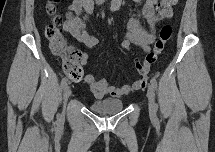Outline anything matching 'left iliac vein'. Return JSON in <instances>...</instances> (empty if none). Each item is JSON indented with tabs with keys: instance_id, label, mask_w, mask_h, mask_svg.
I'll return each instance as SVG.
<instances>
[{
	"instance_id": "obj_1",
	"label": "left iliac vein",
	"mask_w": 215,
	"mask_h": 152,
	"mask_svg": "<svg viewBox=\"0 0 215 152\" xmlns=\"http://www.w3.org/2000/svg\"><path fill=\"white\" fill-rule=\"evenodd\" d=\"M147 99H148L149 115L151 119H154L156 117L157 108L155 104V97H154V91H153L152 85L148 87Z\"/></svg>"
}]
</instances>
